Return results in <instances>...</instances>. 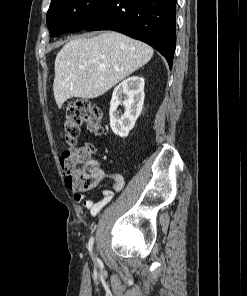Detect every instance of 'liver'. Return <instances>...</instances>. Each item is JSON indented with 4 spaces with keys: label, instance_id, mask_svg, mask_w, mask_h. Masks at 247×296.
Returning a JSON list of instances; mask_svg holds the SVG:
<instances>
[{
    "label": "liver",
    "instance_id": "1",
    "mask_svg": "<svg viewBox=\"0 0 247 296\" xmlns=\"http://www.w3.org/2000/svg\"><path fill=\"white\" fill-rule=\"evenodd\" d=\"M152 47L114 31L66 43L55 59L58 108L73 97L93 99L150 61Z\"/></svg>",
    "mask_w": 247,
    "mask_h": 296
}]
</instances>
